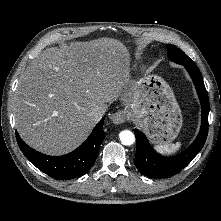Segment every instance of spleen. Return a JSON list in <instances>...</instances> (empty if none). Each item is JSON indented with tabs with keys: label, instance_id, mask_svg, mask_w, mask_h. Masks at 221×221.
I'll return each instance as SVG.
<instances>
[{
	"label": "spleen",
	"instance_id": "3e777b00",
	"mask_svg": "<svg viewBox=\"0 0 221 221\" xmlns=\"http://www.w3.org/2000/svg\"><path fill=\"white\" fill-rule=\"evenodd\" d=\"M181 145V142H177L175 144H160L155 146V150L160 154H172L179 150Z\"/></svg>",
	"mask_w": 221,
	"mask_h": 221
}]
</instances>
